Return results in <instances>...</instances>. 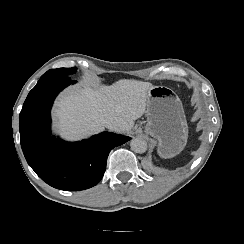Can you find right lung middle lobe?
I'll list each match as a JSON object with an SVG mask.
<instances>
[{
	"mask_svg": "<svg viewBox=\"0 0 244 244\" xmlns=\"http://www.w3.org/2000/svg\"><path fill=\"white\" fill-rule=\"evenodd\" d=\"M76 71V67L73 68H59V69H52L47 71L45 74L42 75L41 78H44L46 76H52V75H70Z\"/></svg>",
	"mask_w": 244,
	"mask_h": 244,
	"instance_id": "dd1d6c3e",
	"label": "right lung middle lobe"
}]
</instances>
